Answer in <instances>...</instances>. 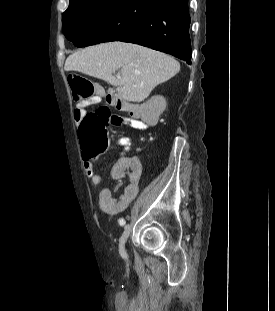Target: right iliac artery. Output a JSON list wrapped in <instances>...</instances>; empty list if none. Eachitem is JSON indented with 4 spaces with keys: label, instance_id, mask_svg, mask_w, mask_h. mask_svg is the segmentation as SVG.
I'll use <instances>...</instances> for the list:
<instances>
[{
    "label": "right iliac artery",
    "instance_id": "obj_1",
    "mask_svg": "<svg viewBox=\"0 0 275 311\" xmlns=\"http://www.w3.org/2000/svg\"><path fill=\"white\" fill-rule=\"evenodd\" d=\"M125 220L123 219V218H121L120 220H119V224L121 225V226H124L125 225Z\"/></svg>",
    "mask_w": 275,
    "mask_h": 311
}]
</instances>
